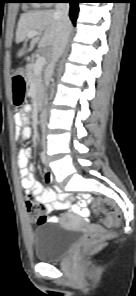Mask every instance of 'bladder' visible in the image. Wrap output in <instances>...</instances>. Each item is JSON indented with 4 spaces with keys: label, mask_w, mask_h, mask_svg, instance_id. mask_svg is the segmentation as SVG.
I'll return each instance as SVG.
<instances>
[{
    "label": "bladder",
    "mask_w": 136,
    "mask_h": 296,
    "mask_svg": "<svg viewBox=\"0 0 136 296\" xmlns=\"http://www.w3.org/2000/svg\"><path fill=\"white\" fill-rule=\"evenodd\" d=\"M80 237V231L61 224H41L31 235L34 256L41 262L60 260Z\"/></svg>",
    "instance_id": "obj_1"
}]
</instances>
